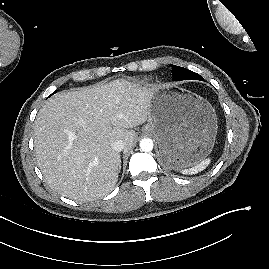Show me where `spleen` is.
Here are the masks:
<instances>
[{
	"label": "spleen",
	"mask_w": 269,
	"mask_h": 269,
	"mask_svg": "<svg viewBox=\"0 0 269 269\" xmlns=\"http://www.w3.org/2000/svg\"><path fill=\"white\" fill-rule=\"evenodd\" d=\"M210 162H211L210 158L204 159V160H202L201 162H199L198 164L194 165L191 168L182 169L181 172L183 174H195V173H198V172L204 170L210 164Z\"/></svg>",
	"instance_id": "obj_1"
}]
</instances>
